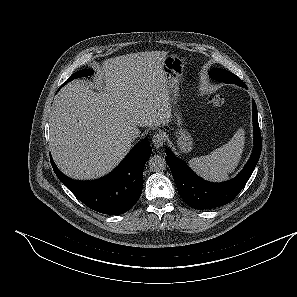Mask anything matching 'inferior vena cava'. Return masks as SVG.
Segmentation results:
<instances>
[{
    "instance_id": "1",
    "label": "inferior vena cava",
    "mask_w": 297,
    "mask_h": 297,
    "mask_svg": "<svg viewBox=\"0 0 297 297\" xmlns=\"http://www.w3.org/2000/svg\"><path fill=\"white\" fill-rule=\"evenodd\" d=\"M140 135V130L137 127H128L124 133V138L129 141H135Z\"/></svg>"
}]
</instances>
